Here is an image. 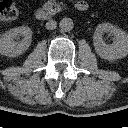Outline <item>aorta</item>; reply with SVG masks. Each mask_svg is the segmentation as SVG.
Listing matches in <instances>:
<instances>
[{
    "mask_svg": "<svg viewBox=\"0 0 128 128\" xmlns=\"http://www.w3.org/2000/svg\"><path fill=\"white\" fill-rule=\"evenodd\" d=\"M59 26L63 32H69L73 29L74 23L71 18L65 17L60 20Z\"/></svg>",
    "mask_w": 128,
    "mask_h": 128,
    "instance_id": "obj_1",
    "label": "aorta"
}]
</instances>
